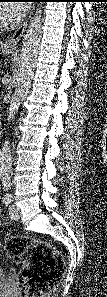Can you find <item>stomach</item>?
<instances>
[{
	"instance_id": "obj_1",
	"label": "stomach",
	"mask_w": 107,
	"mask_h": 297,
	"mask_svg": "<svg viewBox=\"0 0 107 297\" xmlns=\"http://www.w3.org/2000/svg\"><path fill=\"white\" fill-rule=\"evenodd\" d=\"M14 51V48H9V49H6L5 52L7 54H11L12 52Z\"/></svg>"
}]
</instances>
